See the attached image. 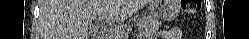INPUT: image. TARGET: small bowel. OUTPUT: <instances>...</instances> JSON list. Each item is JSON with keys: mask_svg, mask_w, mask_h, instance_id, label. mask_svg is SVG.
<instances>
[{"mask_svg": "<svg viewBox=\"0 0 249 39\" xmlns=\"http://www.w3.org/2000/svg\"><path fill=\"white\" fill-rule=\"evenodd\" d=\"M179 35V30L176 28H171L163 31L162 37L163 38H174Z\"/></svg>", "mask_w": 249, "mask_h": 39, "instance_id": "1", "label": "small bowel"}]
</instances>
